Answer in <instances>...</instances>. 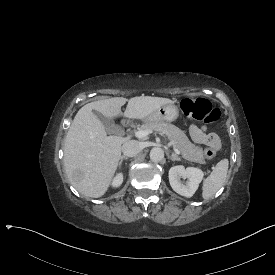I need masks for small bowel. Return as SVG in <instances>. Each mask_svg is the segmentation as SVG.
Here are the masks:
<instances>
[{"label":"small bowel","mask_w":275,"mask_h":275,"mask_svg":"<svg viewBox=\"0 0 275 275\" xmlns=\"http://www.w3.org/2000/svg\"><path fill=\"white\" fill-rule=\"evenodd\" d=\"M190 134L192 139L202 145L220 147V140L217 135L209 133L206 126L192 125L190 127Z\"/></svg>","instance_id":"1"}]
</instances>
